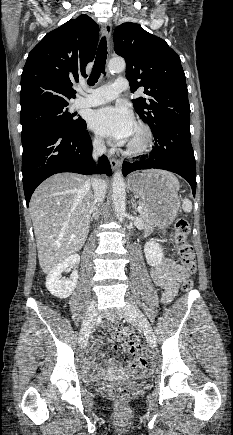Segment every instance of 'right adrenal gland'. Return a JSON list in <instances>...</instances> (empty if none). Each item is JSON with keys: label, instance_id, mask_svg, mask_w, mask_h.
Returning <instances> with one entry per match:
<instances>
[{"label": "right adrenal gland", "instance_id": "2a0ac1e0", "mask_svg": "<svg viewBox=\"0 0 233 435\" xmlns=\"http://www.w3.org/2000/svg\"><path fill=\"white\" fill-rule=\"evenodd\" d=\"M98 215H99V211H98V209H95V212L93 213L90 221L92 222L93 220H97Z\"/></svg>", "mask_w": 233, "mask_h": 435}]
</instances>
